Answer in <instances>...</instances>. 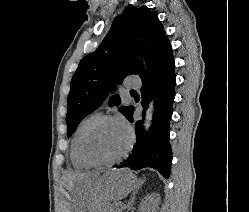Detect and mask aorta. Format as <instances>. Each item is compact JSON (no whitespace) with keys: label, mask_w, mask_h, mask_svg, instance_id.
<instances>
[{"label":"aorta","mask_w":249,"mask_h":212,"mask_svg":"<svg viewBox=\"0 0 249 212\" xmlns=\"http://www.w3.org/2000/svg\"><path fill=\"white\" fill-rule=\"evenodd\" d=\"M153 112H154V102L153 100H151L145 113L144 128L146 132H148L150 129L153 119Z\"/></svg>","instance_id":"1"}]
</instances>
